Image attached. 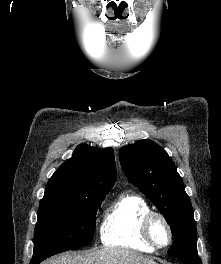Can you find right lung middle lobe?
Segmentation results:
<instances>
[{
	"label": "right lung middle lobe",
	"mask_w": 221,
	"mask_h": 264,
	"mask_svg": "<svg viewBox=\"0 0 221 264\" xmlns=\"http://www.w3.org/2000/svg\"><path fill=\"white\" fill-rule=\"evenodd\" d=\"M106 195L76 199L43 197L34 231L32 259H46L88 244L94 236L97 209Z\"/></svg>",
	"instance_id": "right-lung-middle-lobe-1"
}]
</instances>
